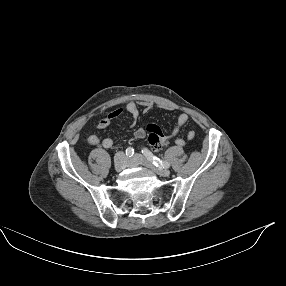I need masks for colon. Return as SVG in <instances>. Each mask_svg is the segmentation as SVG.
Segmentation results:
<instances>
[{
  "label": "colon",
  "mask_w": 286,
  "mask_h": 286,
  "mask_svg": "<svg viewBox=\"0 0 286 286\" xmlns=\"http://www.w3.org/2000/svg\"><path fill=\"white\" fill-rule=\"evenodd\" d=\"M147 130H148V142L155 147L161 146L162 141L165 139V136L161 128L158 125L151 123L147 126Z\"/></svg>",
  "instance_id": "colon-1"
}]
</instances>
